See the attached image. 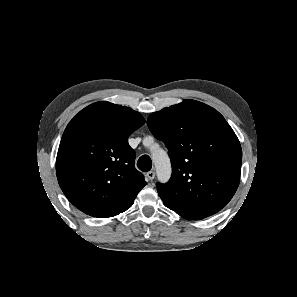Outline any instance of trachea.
<instances>
[{
    "mask_svg": "<svg viewBox=\"0 0 297 297\" xmlns=\"http://www.w3.org/2000/svg\"><path fill=\"white\" fill-rule=\"evenodd\" d=\"M137 167L143 171L148 172L152 168V161L148 155H142L137 161Z\"/></svg>",
    "mask_w": 297,
    "mask_h": 297,
    "instance_id": "obj_1",
    "label": "trachea"
}]
</instances>
